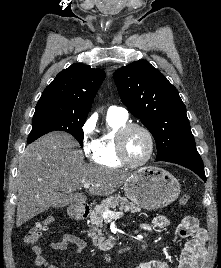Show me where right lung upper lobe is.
I'll return each mask as SVG.
<instances>
[{
  "label": "right lung upper lobe",
  "instance_id": "right-lung-upper-lobe-1",
  "mask_svg": "<svg viewBox=\"0 0 221 268\" xmlns=\"http://www.w3.org/2000/svg\"><path fill=\"white\" fill-rule=\"evenodd\" d=\"M105 72L75 63L45 88L35 111L58 110L87 116Z\"/></svg>",
  "mask_w": 221,
  "mask_h": 268
}]
</instances>
